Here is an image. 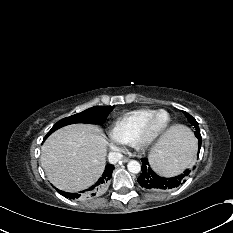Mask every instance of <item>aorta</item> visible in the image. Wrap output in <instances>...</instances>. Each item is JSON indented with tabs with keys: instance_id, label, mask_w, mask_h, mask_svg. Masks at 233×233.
<instances>
[{
	"instance_id": "762f6f07",
	"label": "aorta",
	"mask_w": 233,
	"mask_h": 233,
	"mask_svg": "<svg viewBox=\"0 0 233 233\" xmlns=\"http://www.w3.org/2000/svg\"><path fill=\"white\" fill-rule=\"evenodd\" d=\"M127 168L129 170V172H131L133 174H137V173H139L141 171V165L136 160L129 161L128 164H127Z\"/></svg>"
}]
</instances>
